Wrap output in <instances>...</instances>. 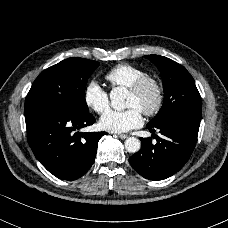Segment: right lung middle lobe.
I'll use <instances>...</instances> for the list:
<instances>
[{
    "label": "right lung middle lobe",
    "mask_w": 228,
    "mask_h": 228,
    "mask_svg": "<svg viewBox=\"0 0 228 228\" xmlns=\"http://www.w3.org/2000/svg\"><path fill=\"white\" fill-rule=\"evenodd\" d=\"M99 66L97 61L69 58L44 70L34 81L25 100V107L51 103L78 113H89L84 89L88 78Z\"/></svg>",
    "instance_id": "obj_1"
}]
</instances>
